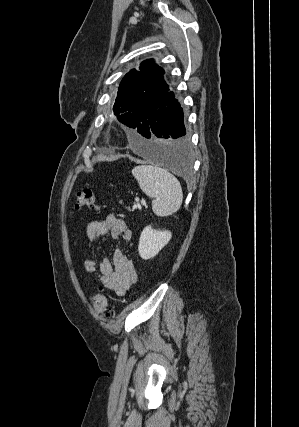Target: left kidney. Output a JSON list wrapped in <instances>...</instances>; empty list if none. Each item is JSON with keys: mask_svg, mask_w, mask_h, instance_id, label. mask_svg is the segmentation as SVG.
<instances>
[{"mask_svg": "<svg viewBox=\"0 0 299 427\" xmlns=\"http://www.w3.org/2000/svg\"><path fill=\"white\" fill-rule=\"evenodd\" d=\"M171 237L170 231H157L151 225L146 226L139 239L138 252L140 257L144 260L155 257L169 243Z\"/></svg>", "mask_w": 299, "mask_h": 427, "instance_id": "left-kidney-1", "label": "left kidney"}]
</instances>
